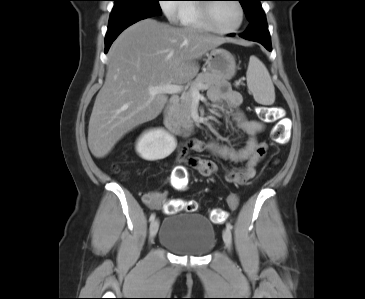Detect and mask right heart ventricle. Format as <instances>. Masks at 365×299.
<instances>
[{
    "label": "right heart ventricle",
    "instance_id": "e07e8e85",
    "mask_svg": "<svg viewBox=\"0 0 365 299\" xmlns=\"http://www.w3.org/2000/svg\"><path fill=\"white\" fill-rule=\"evenodd\" d=\"M194 1V0H189ZM179 17L181 25L200 30H208L202 19L201 5L199 4H183Z\"/></svg>",
    "mask_w": 365,
    "mask_h": 299
}]
</instances>
